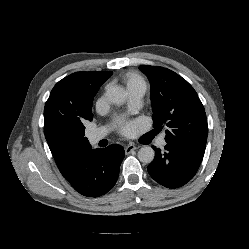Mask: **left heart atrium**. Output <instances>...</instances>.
Segmentation results:
<instances>
[{"mask_svg": "<svg viewBox=\"0 0 249 249\" xmlns=\"http://www.w3.org/2000/svg\"><path fill=\"white\" fill-rule=\"evenodd\" d=\"M122 132L124 134H127V135H131L135 132L136 130V124L135 123H132V122H129V123H125L122 125Z\"/></svg>", "mask_w": 249, "mask_h": 249, "instance_id": "left-heart-atrium-1", "label": "left heart atrium"}]
</instances>
